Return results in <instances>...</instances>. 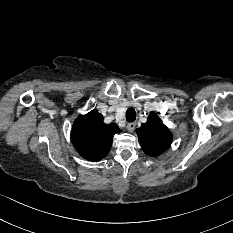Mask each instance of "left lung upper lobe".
Returning <instances> with one entry per match:
<instances>
[{"instance_id": "left-lung-upper-lobe-1", "label": "left lung upper lobe", "mask_w": 233, "mask_h": 233, "mask_svg": "<svg viewBox=\"0 0 233 233\" xmlns=\"http://www.w3.org/2000/svg\"><path fill=\"white\" fill-rule=\"evenodd\" d=\"M143 151L150 156H158L171 145L172 134L161 119L152 113L147 122L136 129Z\"/></svg>"}]
</instances>
